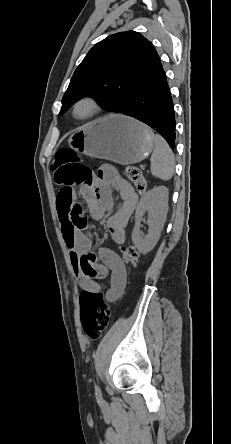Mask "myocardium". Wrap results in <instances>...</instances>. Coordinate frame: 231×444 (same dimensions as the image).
<instances>
[{
  "label": "myocardium",
  "instance_id": "f54148a6",
  "mask_svg": "<svg viewBox=\"0 0 231 444\" xmlns=\"http://www.w3.org/2000/svg\"><path fill=\"white\" fill-rule=\"evenodd\" d=\"M86 105L88 111L85 114H79L78 109L80 106ZM100 111L99 102L92 96H83L76 100L72 106V115L77 120H88L95 117Z\"/></svg>",
  "mask_w": 231,
  "mask_h": 444
}]
</instances>
